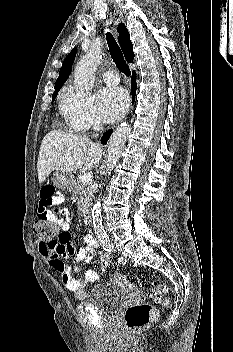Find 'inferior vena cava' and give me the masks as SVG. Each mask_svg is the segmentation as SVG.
Returning <instances> with one entry per match:
<instances>
[{"label": "inferior vena cava", "instance_id": "602c4592", "mask_svg": "<svg viewBox=\"0 0 233 352\" xmlns=\"http://www.w3.org/2000/svg\"><path fill=\"white\" fill-rule=\"evenodd\" d=\"M102 128V123L100 119H94V123H93V129L94 131H99ZM94 137H97L98 134L93 135Z\"/></svg>", "mask_w": 233, "mask_h": 352}]
</instances>
